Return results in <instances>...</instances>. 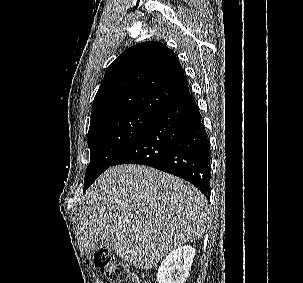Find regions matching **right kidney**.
<instances>
[{
  "label": "right kidney",
  "mask_w": 303,
  "mask_h": 283,
  "mask_svg": "<svg viewBox=\"0 0 303 283\" xmlns=\"http://www.w3.org/2000/svg\"><path fill=\"white\" fill-rule=\"evenodd\" d=\"M195 257V249L181 246L174 249L161 262L157 272L158 283H184Z\"/></svg>",
  "instance_id": "ca27d5eb"
}]
</instances>
